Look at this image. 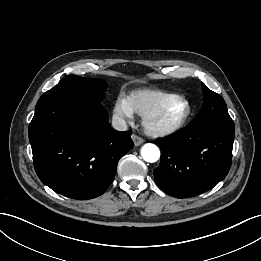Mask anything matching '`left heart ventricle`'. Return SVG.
Here are the masks:
<instances>
[{
    "label": "left heart ventricle",
    "instance_id": "b2bd125f",
    "mask_svg": "<svg viewBox=\"0 0 261 261\" xmlns=\"http://www.w3.org/2000/svg\"><path fill=\"white\" fill-rule=\"evenodd\" d=\"M184 111V105L179 102L171 103L167 109L164 111L161 121L164 123H169L176 120Z\"/></svg>",
    "mask_w": 261,
    "mask_h": 261
}]
</instances>
